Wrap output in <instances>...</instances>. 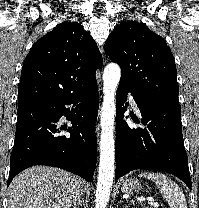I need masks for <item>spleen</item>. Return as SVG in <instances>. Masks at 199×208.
Masks as SVG:
<instances>
[{"label": "spleen", "instance_id": "spleen-1", "mask_svg": "<svg viewBox=\"0 0 199 208\" xmlns=\"http://www.w3.org/2000/svg\"><path fill=\"white\" fill-rule=\"evenodd\" d=\"M139 176L152 180L160 189L161 194L168 201L171 208H187L185 196L179 186L166 175L154 172H144Z\"/></svg>", "mask_w": 199, "mask_h": 208}]
</instances>
